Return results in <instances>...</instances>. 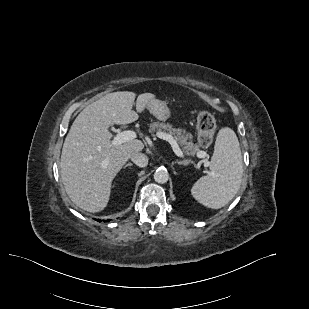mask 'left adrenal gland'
Segmentation results:
<instances>
[{
  "label": "left adrenal gland",
  "mask_w": 309,
  "mask_h": 309,
  "mask_svg": "<svg viewBox=\"0 0 309 309\" xmlns=\"http://www.w3.org/2000/svg\"><path fill=\"white\" fill-rule=\"evenodd\" d=\"M177 164L179 165H184V166H187L188 164L190 163H193L191 160H183V161H176Z\"/></svg>",
  "instance_id": "obj_1"
}]
</instances>
